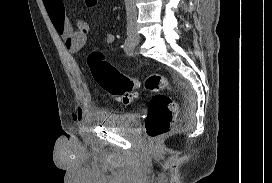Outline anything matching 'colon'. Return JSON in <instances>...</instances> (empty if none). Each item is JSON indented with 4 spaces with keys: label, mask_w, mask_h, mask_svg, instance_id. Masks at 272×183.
I'll return each mask as SVG.
<instances>
[{
    "label": "colon",
    "mask_w": 272,
    "mask_h": 183,
    "mask_svg": "<svg viewBox=\"0 0 272 183\" xmlns=\"http://www.w3.org/2000/svg\"><path fill=\"white\" fill-rule=\"evenodd\" d=\"M85 3L92 7L97 0H85ZM88 64L97 84L123 104H129L141 86L152 92L145 120L146 135L150 141L156 142L169 133L177 106L170 96L160 92L170 87L167 77L159 73L150 74L144 80L126 76L107 62L99 51L88 56Z\"/></svg>",
    "instance_id": "colon-1"
}]
</instances>
